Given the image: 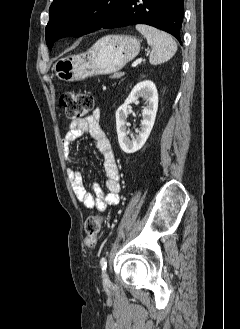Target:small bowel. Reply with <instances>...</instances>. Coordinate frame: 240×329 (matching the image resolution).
<instances>
[{"label": "small bowel", "instance_id": "obj_1", "mask_svg": "<svg viewBox=\"0 0 240 329\" xmlns=\"http://www.w3.org/2000/svg\"><path fill=\"white\" fill-rule=\"evenodd\" d=\"M84 134L90 135L95 141L96 148L103 157L107 190L105 191L101 185L95 183L93 185V193L87 191L82 173L78 168H68V176L77 199L85 207L102 212L108 206L118 204L121 186L117 160L111 143L101 127L98 109L87 117L70 122L69 129L61 140V148L68 162L73 163L70 156L72 144Z\"/></svg>", "mask_w": 240, "mask_h": 329}]
</instances>
